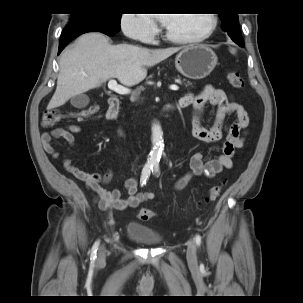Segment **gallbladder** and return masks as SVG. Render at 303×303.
I'll return each instance as SVG.
<instances>
[{"label": "gallbladder", "instance_id": "bac80fb5", "mask_svg": "<svg viewBox=\"0 0 303 303\" xmlns=\"http://www.w3.org/2000/svg\"><path fill=\"white\" fill-rule=\"evenodd\" d=\"M89 97L86 94H79L71 98V105L75 108L82 109L89 104Z\"/></svg>", "mask_w": 303, "mask_h": 303}]
</instances>
